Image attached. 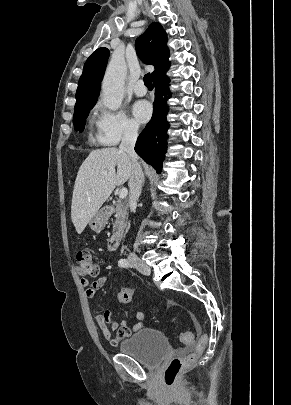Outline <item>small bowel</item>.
I'll return each instance as SVG.
<instances>
[{"label":"small bowel","instance_id":"small-bowel-1","mask_svg":"<svg viewBox=\"0 0 291 405\" xmlns=\"http://www.w3.org/2000/svg\"><path fill=\"white\" fill-rule=\"evenodd\" d=\"M107 282L106 276H101L94 281H90L87 278H81L80 283L85 288V295L88 299H93L96 296V293L101 289ZM113 313L111 310H105L101 313L96 314L95 322L101 331L103 337L113 346H117L123 339L127 338L132 332L138 331L142 328L143 320L145 314L143 312H137L136 318L137 323L133 325L132 328L128 326L126 320L117 322L112 318ZM196 327L199 325L194 317H192ZM111 331L115 332L116 335L113 336Z\"/></svg>","mask_w":291,"mask_h":405}]
</instances>
